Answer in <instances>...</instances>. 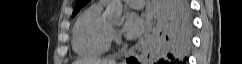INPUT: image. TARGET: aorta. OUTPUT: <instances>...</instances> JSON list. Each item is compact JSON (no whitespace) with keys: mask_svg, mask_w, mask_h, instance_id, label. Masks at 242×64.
I'll return each mask as SVG.
<instances>
[{"mask_svg":"<svg viewBox=\"0 0 242 64\" xmlns=\"http://www.w3.org/2000/svg\"><path fill=\"white\" fill-rule=\"evenodd\" d=\"M123 5L121 0H112L106 9L107 19L113 23H122Z\"/></svg>","mask_w":242,"mask_h":64,"instance_id":"762f6f07","label":"aorta"}]
</instances>
